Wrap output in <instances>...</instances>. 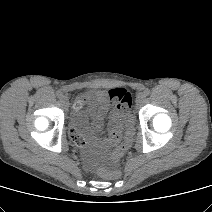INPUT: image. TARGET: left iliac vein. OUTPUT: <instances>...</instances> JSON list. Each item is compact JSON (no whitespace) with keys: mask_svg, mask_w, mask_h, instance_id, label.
I'll return each mask as SVG.
<instances>
[{"mask_svg":"<svg viewBox=\"0 0 212 212\" xmlns=\"http://www.w3.org/2000/svg\"><path fill=\"white\" fill-rule=\"evenodd\" d=\"M144 100H145L144 93H139L137 95V97H136V105H137V107H140L144 103Z\"/></svg>","mask_w":212,"mask_h":212,"instance_id":"4c4485c4","label":"left iliac vein"}]
</instances>
